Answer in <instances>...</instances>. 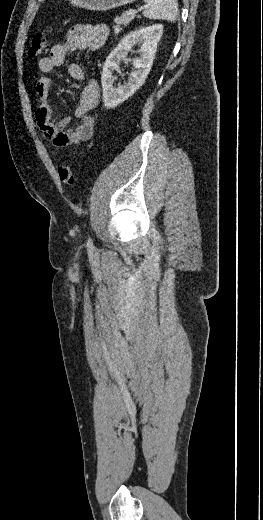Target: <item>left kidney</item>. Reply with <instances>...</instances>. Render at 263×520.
Returning <instances> with one entry per match:
<instances>
[{
	"label": "left kidney",
	"mask_w": 263,
	"mask_h": 520,
	"mask_svg": "<svg viewBox=\"0 0 263 520\" xmlns=\"http://www.w3.org/2000/svg\"><path fill=\"white\" fill-rule=\"evenodd\" d=\"M163 34L162 25H152L136 29L126 35L119 45L109 54L101 75L103 102L106 108H113L132 96L147 78L158 42ZM135 45H141L140 57L132 59L134 71L129 74L127 83L113 87L114 72L118 70L121 60L126 58L128 51Z\"/></svg>",
	"instance_id": "left-kidney-1"
}]
</instances>
